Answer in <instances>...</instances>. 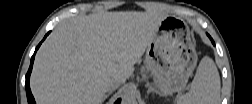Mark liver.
<instances>
[{"instance_id": "6515ba94", "label": "liver", "mask_w": 252, "mask_h": 104, "mask_svg": "<svg viewBox=\"0 0 252 104\" xmlns=\"http://www.w3.org/2000/svg\"><path fill=\"white\" fill-rule=\"evenodd\" d=\"M166 16L99 12L61 22L38 50L30 79L39 104H101L112 79L125 82Z\"/></svg>"}]
</instances>
